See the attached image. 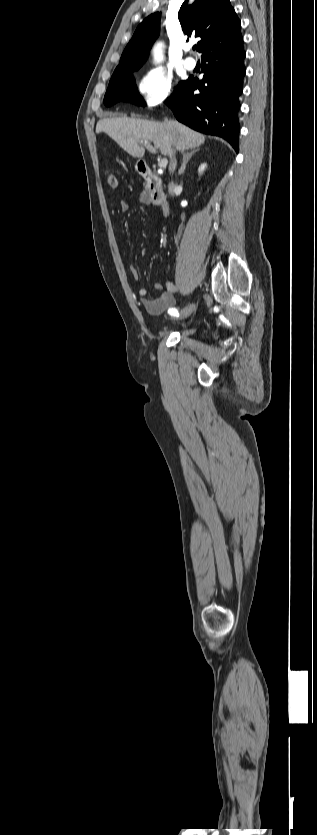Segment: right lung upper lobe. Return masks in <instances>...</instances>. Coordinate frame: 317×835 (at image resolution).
<instances>
[{
  "label": "right lung upper lobe",
  "instance_id": "1",
  "mask_svg": "<svg viewBox=\"0 0 317 835\" xmlns=\"http://www.w3.org/2000/svg\"><path fill=\"white\" fill-rule=\"evenodd\" d=\"M160 18L161 13L156 12L139 24L115 70H138L142 66L159 35ZM178 18L188 37L201 38L197 49L200 53L241 36L240 20L229 0H195L192 5L184 3Z\"/></svg>",
  "mask_w": 317,
  "mask_h": 835
}]
</instances>
